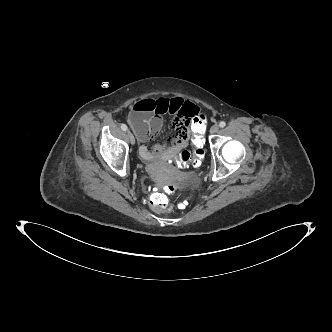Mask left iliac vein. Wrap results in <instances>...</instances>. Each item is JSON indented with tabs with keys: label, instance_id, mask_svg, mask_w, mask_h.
I'll return each instance as SVG.
<instances>
[{
	"label": "left iliac vein",
	"instance_id": "1",
	"mask_svg": "<svg viewBox=\"0 0 332 332\" xmlns=\"http://www.w3.org/2000/svg\"><path fill=\"white\" fill-rule=\"evenodd\" d=\"M219 131V125L215 124L211 127L210 132L211 134H215Z\"/></svg>",
	"mask_w": 332,
	"mask_h": 332
}]
</instances>
